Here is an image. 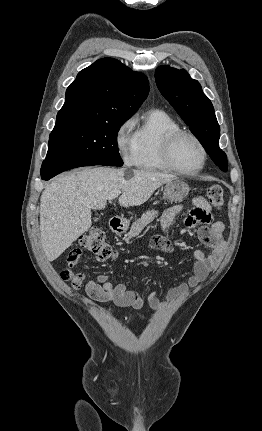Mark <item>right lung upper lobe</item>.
Here are the masks:
<instances>
[{"label": "right lung upper lobe", "instance_id": "obj_1", "mask_svg": "<svg viewBox=\"0 0 262 431\" xmlns=\"http://www.w3.org/2000/svg\"><path fill=\"white\" fill-rule=\"evenodd\" d=\"M147 77L113 58L97 60L80 71L67 88L55 125L78 120L129 119L147 98Z\"/></svg>", "mask_w": 262, "mask_h": 431}]
</instances>
